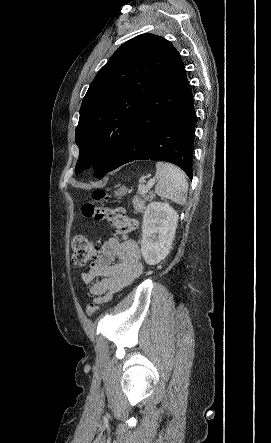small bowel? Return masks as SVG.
Wrapping results in <instances>:
<instances>
[{
	"label": "small bowel",
	"instance_id": "obj_1",
	"mask_svg": "<svg viewBox=\"0 0 271 443\" xmlns=\"http://www.w3.org/2000/svg\"><path fill=\"white\" fill-rule=\"evenodd\" d=\"M142 272L141 252L134 240L107 239L101 246V255L90 269L81 275L90 285L95 304L109 302L117 293L132 283Z\"/></svg>",
	"mask_w": 271,
	"mask_h": 443
}]
</instances>
